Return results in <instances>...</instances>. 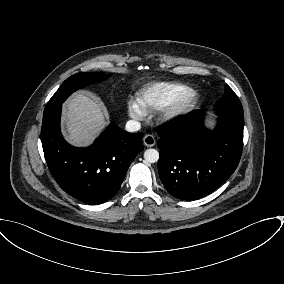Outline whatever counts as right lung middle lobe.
<instances>
[{"label":"right lung middle lobe","mask_w":284,"mask_h":284,"mask_svg":"<svg viewBox=\"0 0 284 284\" xmlns=\"http://www.w3.org/2000/svg\"><path fill=\"white\" fill-rule=\"evenodd\" d=\"M107 77L104 73H77L66 79L59 87L56 93L48 101L44 113L50 112L56 107L62 105V103L70 96L71 93L78 90L80 87L99 82Z\"/></svg>","instance_id":"1"}]
</instances>
